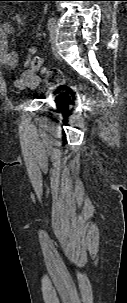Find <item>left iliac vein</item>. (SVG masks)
Here are the masks:
<instances>
[{
	"mask_svg": "<svg viewBox=\"0 0 127 303\" xmlns=\"http://www.w3.org/2000/svg\"><path fill=\"white\" fill-rule=\"evenodd\" d=\"M58 37V28L55 25L51 30H50V41L52 44L55 43ZM54 52L56 53V50L54 49Z\"/></svg>",
	"mask_w": 127,
	"mask_h": 303,
	"instance_id": "obj_1",
	"label": "left iliac vein"
}]
</instances>
